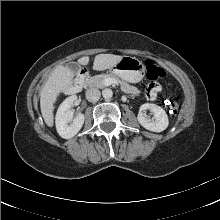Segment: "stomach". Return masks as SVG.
Segmentation results:
<instances>
[{
  "label": "stomach",
  "mask_w": 220,
  "mask_h": 220,
  "mask_svg": "<svg viewBox=\"0 0 220 220\" xmlns=\"http://www.w3.org/2000/svg\"><path fill=\"white\" fill-rule=\"evenodd\" d=\"M112 73L127 82L138 83L144 78L145 66L135 57L124 56L112 67Z\"/></svg>",
  "instance_id": "1"
}]
</instances>
